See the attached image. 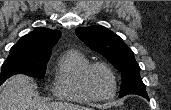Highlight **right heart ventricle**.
Segmentation results:
<instances>
[{
    "label": "right heart ventricle",
    "mask_w": 171,
    "mask_h": 110,
    "mask_svg": "<svg viewBox=\"0 0 171 110\" xmlns=\"http://www.w3.org/2000/svg\"><path fill=\"white\" fill-rule=\"evenodd\" d=\"M90 64L89 59L79 50L65 51L59 58L52 85L55 97L77 103H89L93 100L82 87L81 76Z\"/></svg>",
    "instance_id": "right-heart-ventricle-1"
}]
</instances>
